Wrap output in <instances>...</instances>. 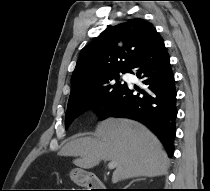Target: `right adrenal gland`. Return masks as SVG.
<instances>
[{"label": "right adrenal gland", "instance_id": "right-adrenal-gland-1", "mask_svg": "<svg viewBox=\"0 0 210 191\" xmlns=\"http://www.w3.org/2000/svg\"><path fill=\"white\" fill-rule=\"evenodd\" d=\"M140 180H145V179L144 178H139V179L132 180L126 187H129L132 183H134L136 181H140Z\"/></svg>", "mask_w": 210, "mask_h": 191}]
</instances>
